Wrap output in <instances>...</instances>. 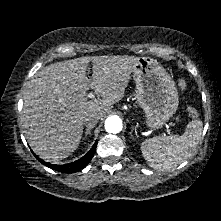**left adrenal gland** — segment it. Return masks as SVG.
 <instances>
[{"label": "left adrenal gland", "instance_id": "1", "mask_svg": "<svg viewBox=\"0 0 221 221\" xmlns=\"http://www.w3.org/2000/svg\"><path fill=\"white\" fill-rule=\"evenodd\" d=\"M132 133H133V128L131 129V132H130L131 137H133Z\"/></svg>", "mask_w": 221, "mask_h": 221}]
</instances>
